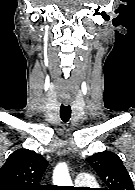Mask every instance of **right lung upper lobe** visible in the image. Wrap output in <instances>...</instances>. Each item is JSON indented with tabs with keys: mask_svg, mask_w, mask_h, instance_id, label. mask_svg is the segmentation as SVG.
I'll use <instances>...</instances> for the list:
<instances>
[{
	"mask_svg": "<svg viewBox=\"0 0 135 190\" xmlns=\"http://www.w3.org/2000/svg\"><path fill=\"white\" fill-rule=\"evenodd\" d=\"M48 162L27 149L14 151L0 168V190H42L39 181Z\"/></svg>",
	"mask_w": 135,
	"mask_h": 190,
	"instance_id": "right-lung-upper-lobe-1",
	"label": "right lung upper lobe"
}]
</instances>
